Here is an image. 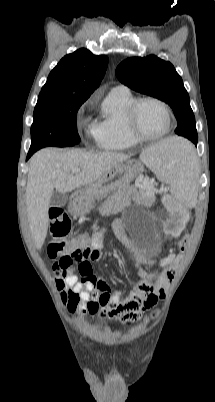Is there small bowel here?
Masks as SVG:
<instances>
[{"label":"small bowel","mask_w":215,"mask_h":402,"mask_svg":"<svg viewBox=\"0 0 215 402\" xmlns=\"http://www.w3.org/2000/svg\"><path fill=\"white\" fill-rule=\"evenodd\" d=\"M113 232L123 245L134 246L120 221L114 224ZM103 242L102 232L90 238L86 250H80L84 259L75 264V270L62 269L54 262L52 270L56 286L61 291L62 299L71 314L98 315L100 318H112L130 323L138 319L142 312L153 307L164 295L172 280V272L167 269L156 276H150L144 270H139V281L129 295L122 298L119 292H111L107 282L93 272L92 263L101 259ZM83 263L89 266L86 272L78 270V266Z\"/></svg>","instance_id":"small-bowel-1"}]
</instances>
